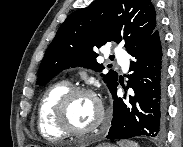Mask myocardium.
Returning a JSON list of instances; mask_svg holds the SVG:
<instances>
[{
  "mask_svg": "<svg viewBox=\"0 0 183 147\" xmlns=\"http://www.w3.org/2000/svg\"><path fill=\"white\" fill-rule=\"evenodd\" d=\"M79 95H87L93 98L98 107V117L93 125L84 130H78L71 126L68 118V107L73 98ZM105 108L100 97L91 89L84 87H73L65 92L58 100L54 109V121L59 129L66 134L84 136L94 132L105 119Z\"/></svg>",
  "mask_w": 183,
  "mask_h": 147,
  "instance_id": "f54148a6",
  "label": "myocardium"
}]
</instances>
